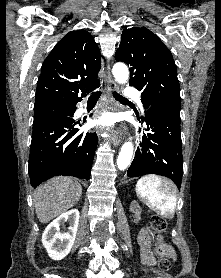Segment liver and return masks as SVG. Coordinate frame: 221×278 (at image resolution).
<instances>
[{
	"label": "liver",
	"mask_w": 221,
	"mask_h": 278,
	"mask_svg": "<svg viewBox=\"0 0 221 278\" xmlns=\"http://www.w3.org/2000/svg\"><path fill=\"white\" fill-rule=\"evenodd\" d=\"M82 195L81 185L70 177H56L38 187L34 193L36 215L41 223H48L71 209Z\"/></svg>",
	"instance_id": "obj_1"
}]
</instances>
